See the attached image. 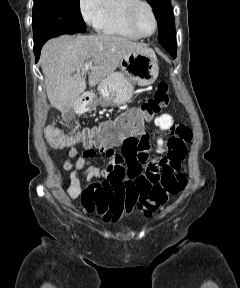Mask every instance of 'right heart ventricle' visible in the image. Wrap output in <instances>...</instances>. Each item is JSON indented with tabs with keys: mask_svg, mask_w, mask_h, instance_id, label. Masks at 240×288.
I'll use <instances>...</instances> for the list:
<instances>
[{
	"mask_svg": "<svg viewBox=\"0 0 240 288\" xmlns=\"http://www.w3.org/2000/svg\"><path fill=\"white\" fill-rule=\"evenodd\" d=\"M132 0H105L101 18L96 28L109 35H119L130 39H139L127 25L126 8Z\"/></svg>",
	"mask_w": 240,
	"mask_h": 288,
	"instance_id": "e07e8e85",
	"label": "right heart ventricle"
}]
</instances>
